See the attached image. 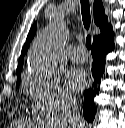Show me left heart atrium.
<instances>
[{
    "label": "left heart atrium",
    "mask_w": 125,
    "mask_h": 128,
    "mask_svg": "<svg viewBox=\"0 0 125 128\" xmlns=\"http://www.w3.org/2000/svg\"><path fill=\"white\" fill-rule=\"evenodd\" d=\"M65 82L70 90L79 91L86 85L87 78L80 69H73L66 75Z\"/></svg>",
    "instance_id": "obj_1"
}]
</instances>
